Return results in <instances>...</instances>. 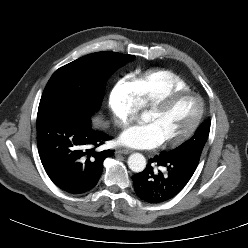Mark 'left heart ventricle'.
<instances>
[{"label": "left heart ventricle", "mask_w": 248, "mask_h": 248, "mask_svg": "<svg viewBox=\"0 0 248 248\" xmlns=\"http://www.w3.org/2000/svg\"><path fill=\"white\" fill-rule=\"evenodd\" d=\"M198 109V101L186 96L175 100L164 110L145 113L143 121L154 126L163 142L183 134L193 123Z\"/></svg>", "instance_id": "left-heart-ventricle-1"}]
</instances>
